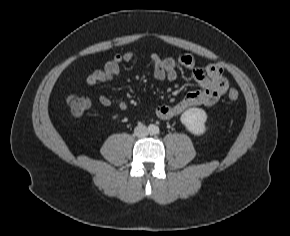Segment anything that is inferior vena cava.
<instances>
[{
  "mask_svg": "<svg viewBox=\"0 0 290 236\" xmlns=\"http://www.w3.org/2000/svg\"><path fill=\"white\" fill-rule=\"evenodd\" d=\"M134 134L137 137H145L148 135V129L143 124H140L134 129Z\"/></svg>",
  "mask_w": 290,
  "mask_h": 236,
  "instance_id": "1",
  "label": "inferior vena cava"
}]
</instances>
